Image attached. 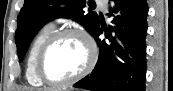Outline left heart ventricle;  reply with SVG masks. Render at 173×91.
Segmentation results:
<instances>
[{
    "label": "left heart ventricle",
    "mask_w": 173,
    "mask_h": 91,
    "mask_svg": "<svg viewBox=\"0 0 173 91\" xmlns=\"http://www.w3.org/2000/svg\"><path fill=\"white\" fill-rule=\"evenodd\" d=\"M87 47L78 36L67 35L55 41L46 53L43 70L53 81L68 79L80 72L87 62Z\"/></svg>",
    "instance_id": "1"
}]
</instances>
